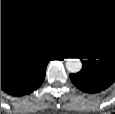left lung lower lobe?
Listing matches in <instances>:
<instances>
[{
    "label": "left lung lower lobe",
    "instance_id": "left-lung-lower-lobe-1",
    "mask_svg": "<svg viewBox=\"0 0 115 114\" xmlns=\"http://www.w3.org/2000/svg\"><path fill=\"white\" fill-rule=\"evenodd\" d=\"M73 84L88 93L100 92L108 88L114 81L115 75L93 67H83L76 74H70Z\"/></svg>",
    "mask_w": 115,
    "mask_h": 114
}]
</instances>
